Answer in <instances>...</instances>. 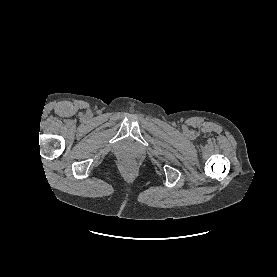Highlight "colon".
Returning a JSON list of instances; mask_svg holds the SVG:
<instances>
[{
	"instance_id": "colon-1",
	"label": "colon",
	"mask_w": 277,
	"mask_h": 277,
	"mask_svg": "<svg viewBox=\"0 0 277 277\" xmlns=\"http://www.w3.org/2000/svg\"><path fill=\"white\" fill-rule=\"evenodd\" d=\"M125 164H126V165H129V166L131 165V163H130V162H126Z\"/></svg>"
}]
</instances>
